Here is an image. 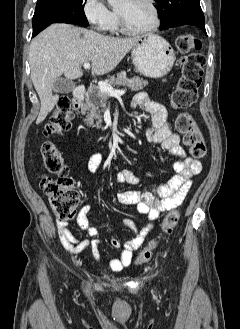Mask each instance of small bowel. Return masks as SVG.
I'll use <instances>...</instances> for the list:
<instances>
[{
	"mask_svg": "<svg viewBox=\"0 0 240 329\" xmlns=\"http://www.w3.org/2000/svg\"><path fill=\"white\" fill-rule=\"evenodd\" d=\"M143 107L150 113V124L145 130V138L148 143L158 145L163 151H167L179 160L173 165L177 174L166 184L145 191H123L117 194V199L125 205H134L137 211L147 216L148 222L137 229L134 222L130 219H123L122 223L128 227L134 237L123 244V249L119 257L112 258L109 261V267L114 272H120L127 267L133 258V252L136 251L144 242L145 238L153 229V221L165 211L177 208L181 205L188 189L191 185V179L202 171L201 163L185 153L181 147V136L172 131L167 121L165 108L154 101L145 92H140L133 98L131 108ZM102 163V155L95 153L88 162V169L91 173H97ZM116 184L138 185L141 182L140 177L130 168H125L115 175ZM91 210L90 204H84L79 212L78 224L91 237V240H79L70 231L67 222L57 221L56 226L62 246L71 253H80L86 249L91 251L96 261L101 260L100 245L101 241L97 238L100 230L91 226L88 221V214ZM110 244L113 248H120V242L112 238Z\"/></svg>",
	"mask_w": 240,
	"mask_h": 329,
	"instance_id": "small-bowel-1",
	"label": "small bowel"
}]
</instances>
